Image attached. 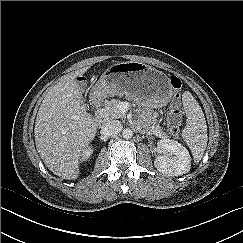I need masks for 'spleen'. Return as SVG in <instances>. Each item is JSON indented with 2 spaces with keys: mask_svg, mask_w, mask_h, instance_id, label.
Returning a JSON list of instances; mask_svg holds the SVG:
<instances>
[{
  "mask_svg": "<svg viewBox=\"0 0 243 243\" xmlns=\"http://www.w3.org/2000/svg\"><path fill=\"white\" fill-rule=\"evenodd\" d=\"M183 106L187 116L182 137L189 146L196 161H200L207 146V125L204 113L198 102L188 91L183 93Z\"/></svg>",
  "mask_w": 243,
  "mask_h": 243,
  "instance_id": "obj_1",
  "label": "spleen"
}]
</instances>
